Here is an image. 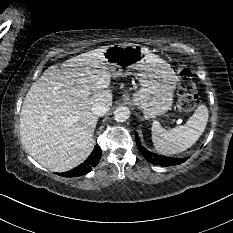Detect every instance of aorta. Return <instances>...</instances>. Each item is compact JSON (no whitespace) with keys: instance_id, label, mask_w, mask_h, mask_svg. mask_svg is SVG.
Returning <instances> with one entry per match:
<instances>
[{"instance_id":"aorta-1","label":"aorta","mask_w":233,"mask_h":233,"mask_svg":"<svg viewBox=\"0 0 233 233\" xmlns=\"http://www.w3.org/2000/svg\"><path fill=\"white\" fill-rule=\"evenodd\" d=\"M130 117V110L128 107L121 106L114 111V119L117 122H124Z\"/></svg>"}]
</instances>
